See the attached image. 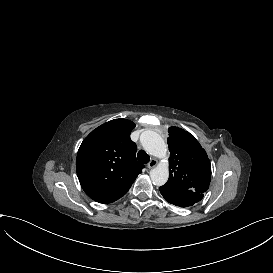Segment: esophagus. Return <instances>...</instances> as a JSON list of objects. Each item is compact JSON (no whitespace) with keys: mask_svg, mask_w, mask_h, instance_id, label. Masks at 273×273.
Returning <instances> with one entry per match:
<instances>
[{"mask_svg":"<svg viewBox=\"0 0 273 273\" xmlns=\"http://www.w3.org/2000/svg\"><path fill=\"white\" fill-rule=\"evenodd\" d=\"M157 164H158V161H157L155 158H152V159L150 160V162L148 163L147 167H148L149 169H151V168L155 167Z\"/></svg>","mask_w":273,"mask_h":273,"instance_id":"obj_1","label":"esophagus"}]
</instances>
